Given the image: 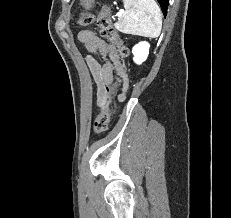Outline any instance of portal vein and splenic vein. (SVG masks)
I'll use <instances>...</instances> for the list:
<instances>
[{"instance_id": "obj_1", "label": "portal vein and splenic vein", "mask_w": 231, "mask_h": 218, "mask_svg": "<svg viewBox=\"0 0 231 218\" xmlns=\"http://www.w3.org/2000/svg\"><path fill=\"white\" fill-rule=\"evenodd\" d=\"M122 12H123V10H120V11H119V14H122Z\"/></svg>"}]
</instances>
